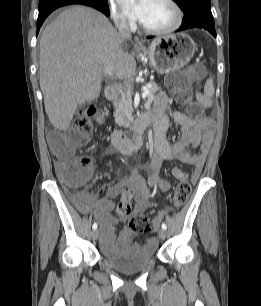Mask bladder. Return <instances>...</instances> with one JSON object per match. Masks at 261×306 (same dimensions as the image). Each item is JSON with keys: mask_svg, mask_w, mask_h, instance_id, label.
<instances>
[{"mask_svg": "<svg viewBox=\"0 0 261 306\" xmlns=\"http://www.w3.org/2000/svg\"><path fill=\"white\" fill-rule=\"evenodd\" d=\"M155 243H130L127 236L113 240L109 246L102 244L101 257L122 273H134L146 268L155 258Z\"/></svg>", "mask_w": 261, "mask_h": 306, "instance_id": "bladder-1", "label": "bladder"}]
</instances>
